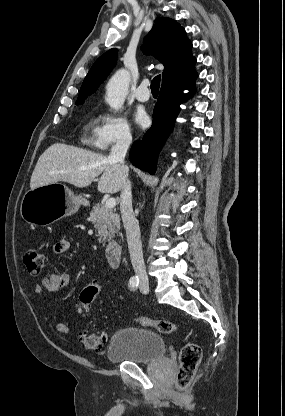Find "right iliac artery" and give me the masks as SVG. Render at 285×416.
Masks as SVG:
<instances>
[{
	"mask_svg": "<svg viewBox=\"0 0 285 416\" xmlns=\"http://www.w3.org/2000/svg\"><path fill=\"white\" fill-rule=\"evenodd\" d=\"M139 285V278L138 276H133L129 280V288L131 290H135Z\"/></svg>",
	"mask_w": 285,
	"mask_h": 416,
	"instance_id": "82829eb1",
	"label": "right iliac artery"
}]
</instances>
